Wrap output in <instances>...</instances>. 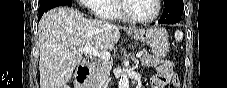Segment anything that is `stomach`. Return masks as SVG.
Wrapping results in <instances>:
<instances>
[{"label": "stomach", "mask_w": 227, "mask_h": 88, "mask_svg": "<svg viewBox=\"0 0 227 88\" xmlns=\"http://www.w3.org/2000/svg\"><path fill=\"white\" fill-rule=\"evenodd\" d=\"M128 34L150 47L155 57H165L170 49L169 35L167 31L159 26H152L146 29L129 31Z\"/></svg>", "instance_id": "1"}]
</instances>
